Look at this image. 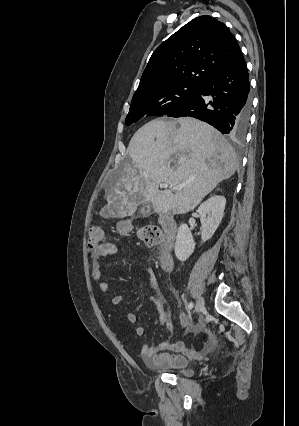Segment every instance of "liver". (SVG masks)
Wrapping results in <instances>:
<instances>
[{
    "mask_svg": "<svg viewBox=\"0 0 299 426\" xmlns=\"http://www.w3.org/2000/svg\"><path fill=\"white\" fill-rule=\"evenodd\" d=\"M127 165L114 186L106 188L108 204L100 215L126 217L150 202L156 213L184 214L195 208L238 167L232 146L212 126L191 117L154 119L133 135ZM161 183L185 184L181 190H159Z\"/></svg>",
    "mask_w": 299,
    "mask_h": 426,
    "instance_id": "6515ba94",
    "label": "liver"
}]
</instances>
